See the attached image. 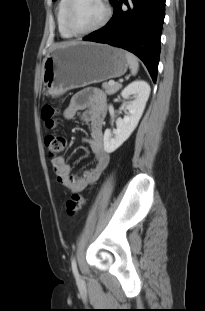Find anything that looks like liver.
Listing matches in <instances>:
<instances>
[{"label": "liver", "mask_w": 205, "mask_h": 311, "mask_svg": "<svg viewBox=\"0 0 205 311\" xmlns=\"http://www.w3.org/2000/svg\"><path fill=\"white\" fill-rule=\"evenodd\" d=\"M71 43H75V42H71ZM65 44H68V43H65ZM57 46H59V45H57ZM57 46H56V47H57Z\"/></svg>", "instance_id": "6515ba94"}]
</instances>
